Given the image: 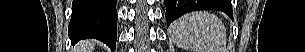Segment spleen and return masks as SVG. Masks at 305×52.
Listing matches in <instances>:
<instances>
[{
    "label": "spleen",
    "instance_id": "spleen-1",
    "mask_svg": "<svg viewBox=\"0 0 305 52\" xmlns=\"http://www.w3.org/2000/svg\"><path fill=\"white\" fill-rule=\"evenodd\" d=\"M175 43L192 52H225L226 28L208 11L190 12L175 20L170 29Z\"/></svg>",
    "mask_w": 305,
    "mask_h": 52
}]
</instances>
